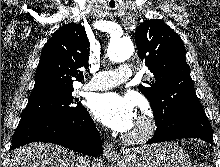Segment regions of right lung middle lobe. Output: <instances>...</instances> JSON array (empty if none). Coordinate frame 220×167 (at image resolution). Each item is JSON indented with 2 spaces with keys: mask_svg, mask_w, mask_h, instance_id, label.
I'll use <instances>...</instances> for the list:
<instances>
[{
  "mask_svg": "<svg viewBox=\"0 0 220 167\" xmlns=\"http://www.w3.org/2000/svg\"><path fill=\"white\" fill-rule=\"evenodd\" d=\"M73 88L55 94L29 99L21 119L47 114L72 115L83 106L72 96Z\"/></svg>",
  "mask_w": 220,
  "mask_h": 167,
  "instance_id": "right-lung-middle-lobe-1",
  "label": "right lung middle lobe"
}]
</instances>
